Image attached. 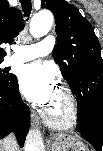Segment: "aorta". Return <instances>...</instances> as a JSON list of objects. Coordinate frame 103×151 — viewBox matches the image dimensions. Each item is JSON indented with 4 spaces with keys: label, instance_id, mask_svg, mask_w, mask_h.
Here are the masks:
<instances>
[{
    "label": "aorta",
    "instance_id": "1",
    "mask_svg": "<svg viewBox=\"0 0 103 151\" xmlns=\"http://www.w3.org/2000/svg\"><path fill=\"white\" fill-rule=\"evenodd\" d=\"M52 24L53 14L49 10H41L33 16L29 31L34 37H42L50 31ZM25 151H43V148L35 141L28 140Z\"/></svg>",
    "mask_w": 103,
    "mask_h": 151
}]
</instances>
